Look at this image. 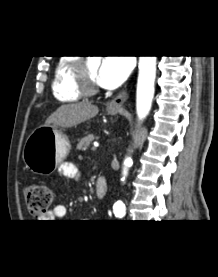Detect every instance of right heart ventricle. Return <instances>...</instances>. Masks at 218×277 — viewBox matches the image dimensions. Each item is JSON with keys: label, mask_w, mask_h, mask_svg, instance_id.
I'll return each mask as SVG.
<instances>
[{"label": "right heart ventricle", "mask_w": 218, "mask_h": 277, "mask_svg": "<svg viewBox=\"0 0 218 277\" xmlns=\"http://www.w3.org/2000/svg\"><path fill=\"white\" fill-rule=\"evenodd\" d=\"M78 60L73 56L61 57L53 70L52 93L61 102H75L81 98V93L75 84V66Z\"/></svg>", "instance_id": "1"}]
</instances>
